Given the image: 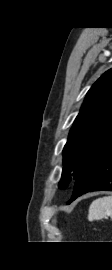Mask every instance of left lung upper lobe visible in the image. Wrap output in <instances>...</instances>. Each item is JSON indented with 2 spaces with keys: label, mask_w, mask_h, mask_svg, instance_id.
<instances>
[{
  "label": "left lung upper lobe",
  "mask_w": 112,
  "mask_h": 270,
  "mask_svg": "<svg viewBox=\"0 0 112 270\" xmlns=\"http://www.w3.org/2000/svg\"><path fill=\"white\" fill-rule=\"evenodd\" d=\"M112 148V69L88 91L63 149L59 188L84 172Z\"/></svg>",
  "instance_id": "1"
}]
</instances>
